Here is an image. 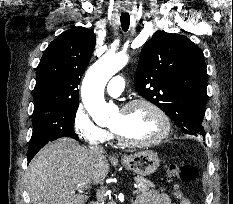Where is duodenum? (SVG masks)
<instances>
[{
	"label": "duodenum",
	"mask_w": 233,
	"mask_h": 204,
	"mask_svg": "<svg viewBox=\"0 0 233 204\" xmlns=\"http://www.w3.org/2000/svg\"><path fill=\"white\" fill-rule=\"evenodd\" d=\"M88 204H98L97 202H90V203H88Z\"/></svg>",
	"instance_id": "obj_1"
}]
</instances>
